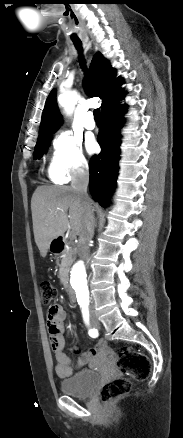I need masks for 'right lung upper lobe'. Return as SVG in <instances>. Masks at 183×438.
Masks as SVG:
<instances>
[{
    "label": "right lung upper lobe",
    "instance_id": "obj_1",
    "mask_svg": "<svg viewBox=\"0 0 183 438\" xmlns=\"http://www.w3.org/2000/svg\"><path fill=\"white\" fill-rule=\"evenodd\" d=\"M123 80L116 77V70L100 53H96L90 65L89 94L102 99L101 112L118 103L125 96L121 85ZM61 124L60 112L56 104V90L53 89L45 103L39 137L54 133Z\"/></svg>",
    "mask_w": 183,
    "mask_h": 438
}]
</instances>
